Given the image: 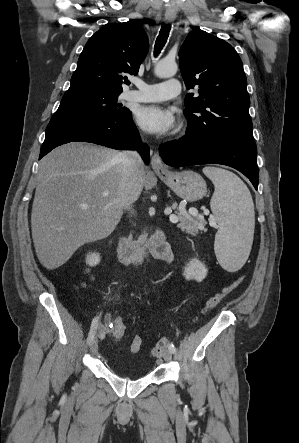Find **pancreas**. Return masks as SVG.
Instances as JSON below:
<instances>
[{
  "label": "pancreas",
  "instance_id": "obj_1",
  "mask_svg": "<svg viewBox=\"0 0 299 443\" xmlns=\"http://www.w3.org/2000/svg\"><path fill=\"white\" fill-rule=\"evenodd\" d=\"M176 207V205H174ZM191 212H195L191 210L189 213L186 212L185 209L179 208L177 211L178 224L177 227L181 229V231L186 232L191 235H196L202 231H206L205 225L206 221L195 212V214H191Z\"/></svg>",
  "mask_w": 299,
  "mask_h": 443
}]
</instances>
